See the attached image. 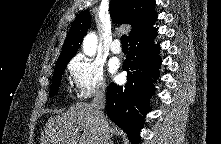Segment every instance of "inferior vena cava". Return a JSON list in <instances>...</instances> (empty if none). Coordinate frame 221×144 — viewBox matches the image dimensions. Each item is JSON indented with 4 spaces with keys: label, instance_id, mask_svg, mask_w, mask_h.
Here are the masks:
<instances>
[{
    "label": "inferior vena cava",
    "instance_id": "602c4592",
    "mask_svg": "<svg viewBox=\"0 0 221 144\" xmlns=\"http://www.w3.org/2000/svg\"><path fill=\"white\" fill-rule=\"evenodd\" d=\"M105 93L106 86H100L91 102V106L95 112L96 119L100 126L98 144H110L109 125L103 113V109L105 108L106 104Z\"/></svg>",
    "mask_w": 221,
    "mask_h": 144
}]
</instances>
